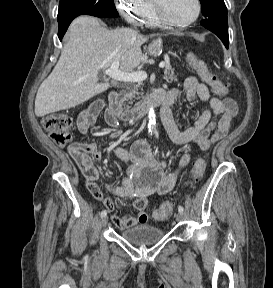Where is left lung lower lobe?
<instances>
[{"instance_id": "left-lung-lower-lobe-1", "label": "left lung lower lobe", "mask_w": 273, "mask_h": 288, "mask_svg": "<svg viewBox=\"0 0 273 288\" xmlns=\"http://www.w3.org/2000/svg\"><path fill=\"white\" fill-rule=\"evenodd\" d=\"M201 25L215 33L224 43L226 48H228L229 37L227 18H220L214 20L204 19L203 21H201Z\"/></svg>"}]
</instances>
